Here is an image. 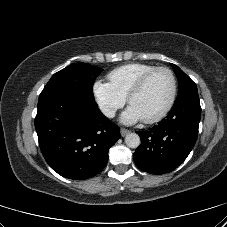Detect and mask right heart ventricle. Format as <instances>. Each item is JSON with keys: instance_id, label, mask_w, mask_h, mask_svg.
Returning <instances> with one entry per match:
<instances>
[{"instance_id": "e07e8e85", "label": "right heart ventricle", "mask_w": 227, "mask_h": 227, "mask_svg": "<svg viewBox=\"0 0 227 227\" xmlns=\"http://www.w3.org/2000/svg\"><path fill=\"white\" fill-rule=\"evenodd\" d=\"M154 65L148 63H129L119 66L108 73L110 85L123 97L126 98L134 83Z\"/></svg>"}]
</instances>
